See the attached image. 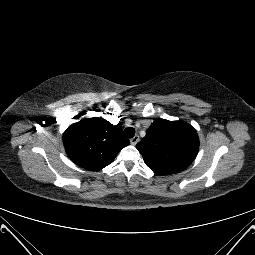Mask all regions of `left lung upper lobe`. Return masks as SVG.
Returning a JSON list of instances; mask_svg holds the SVG:
<instances>
[{
	"mask_svg": "<svg viewBox=\"0 0 255 255\" xmlns=\"http://www.w3.org/2000/svg\"><path fill=\"white\" fill-rule=\"evenodd\" d=\"M136 148L151 170L158 175H169L184 170L193 162L199 138L186 122L156 119Z\"/></svg>",
	"mask_w": 255,
	"mask_h": 255,
	"instance_id": "1",
	"label": "left lung upper lobe"
}]
</instances>
